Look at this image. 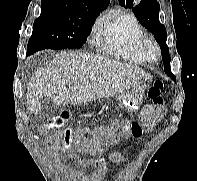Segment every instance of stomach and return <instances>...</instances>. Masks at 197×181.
Wrapping results in <instances>:
<instances>
[{"instance_id": "0dacf381", "label": "stomach", "mask_w": 197, "mask_h": 181, "mask_svg": "<svg viewBox=\"0 0 197 181\" xmlns=\"http://www.w3.org/2000/svg\"><path fill=\"white\" fill-rule=\"evenodd\" d=\"M144 90L145 85L140 84L122 94H119L117 97L119 105L128 111L138 110L142 103Z\"/></svg>"}]
</instances>
